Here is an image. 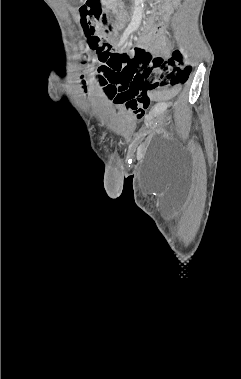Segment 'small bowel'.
I'll return each instance as SVG.
<instances>
[{
	"label": "small bowel",
	"mask_w": 241,
	"mask_h": 379,
	"mask_svg": "<svg viewBox=\"0 0 241 379\" xmlns=\"http://www.w3.org/2000/svg\"><path fill=\"white\" fill-rule=\"evenodd\" d=\"M164 9L166 12L170 10L168 5ZM142 47H150L155 55L167 57L169 54L167 38L158 27L144 36ZM177 92V88L157 90V86H151L150 83H139L137 89H114L110 97L116 104L126 108L133 120H139L146 115V110H150L151 99L164 102L174 97ZM157 113L158 110H154L153 114Z\"/></svg>",
	"instance_id": "small-bowel-1"
}]
</instances>
